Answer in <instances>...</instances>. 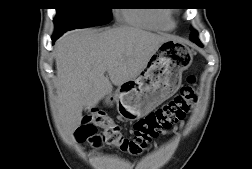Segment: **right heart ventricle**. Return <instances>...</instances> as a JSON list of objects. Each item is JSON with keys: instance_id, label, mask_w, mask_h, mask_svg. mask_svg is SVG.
<instances>
[{"instance_id": "e07e8e85", "label": "right heart ventricle", "mask_w": 252, "mask_h": 169, "mask_svg": "<svg viewBox=\"0 0 252 169\" xmlns=\"http://www.w3.org/2000/svg\"><path fill=\"white\" fill-rule=\"evenodd\" d=\"M122 15L129 23L142 28L169 30L174 26L170 16L163 12L129 9Z\"/></svg>"}]
</instances>
